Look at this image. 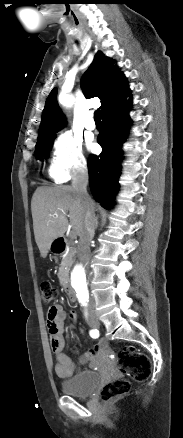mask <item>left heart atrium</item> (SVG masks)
I'll use <instances>...</instances> for the list:
<instances>
[{"mask_svg": "<svg viewBox=\"0 0 183 438\" xmlns=\"http://www.w3.org/2000/svg\"><path fill=\"white\" fill-rule=\"evenodd\" d=\"M89 148H90V150H94L95 149V145L92 142H90L89 143Z\"/></svg>", "mask_w": 183, "mask_h": 438, "instance_id": "1", "label": "left heart atrium"}]
</instances>
